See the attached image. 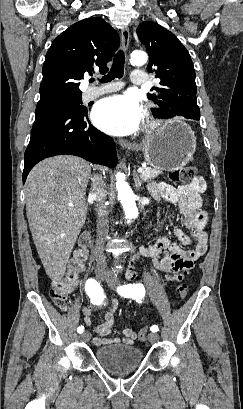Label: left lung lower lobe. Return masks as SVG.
<instances>
[{
	"label": "left lung lower lobe",
	"instance_id": "obj_1",
	"mask_svg": "<svg viewBox=\"0 0 243 409\" xmlns=\"http://www.w3.org/2000/svg\"><path fill=\"white\" fill-rule=\"evenodd\" d=\"M178 114H181V112L176 111L175 113H169L168 118H171V117H174V116H181V115H178ZM184 117L199 120L200 119V113L199 114H193V115H184Z\"/></svg>",
	"mask_w": 243,
	"mask_h": 409
}]
</instances>
